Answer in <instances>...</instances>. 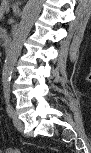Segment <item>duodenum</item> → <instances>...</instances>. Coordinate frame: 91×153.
Segmentation results:
<instances>
[{
  "label": "duodenum",
  "instance_id": "duodenum-1",
  "mask_svg": "<svg viewBox=\"0 0 91 153\" xmlns=\"http://www.w3.org/2000/svg\"><path fill=\"white\" fill-rule=\"evenodd\" d=\"M3 44H4V50L5 52H8L12 46V40L8 36L3 37Z\"/></svg>",
  "mask_w": 91,
  "mask_h": 153
}]
</instances>
